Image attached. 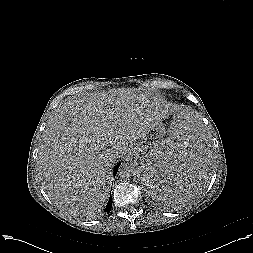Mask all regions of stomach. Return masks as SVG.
<instances>
[{"mask_svg": "<svg viewBox=\"0 0 253 253\" xmlns=\"http://www.w3.org/2000/svg\"><path fill=\"white\" fill-rule=\"evenodd\" d=\"M166 135V130L162 123L151 127L144 136L129 146V151L137 158L143 160L142 165L139 167V173L145 163L149 160L150 154L156 148L159 140ZM140 176V174H139Z\"/></svg>", "mask_w": 253, "mask_h": 253, "instance_id": "1", "label": "stomach"}]
</instances>
